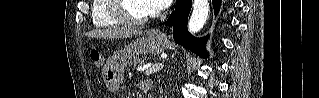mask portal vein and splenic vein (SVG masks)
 Listing matches in <instances>:
<instances>
[{"mask_svg": "<svg viewBox=\"0 0 319 98\" xmlns=\"http://www.w3.org/2000/svg\"><path fill=\"white\" fill-rule=\"evenodd\" d=\"M162 68H163V64L158 63V64H155L153 66H148L147 65V66H144V67H140L139 70L145 71L146 75H152L155 72L160 71Z\"/></svg>", "mask_w": 319, "mask_h": 98, "instance_id": "obj_1", "label": "portal vein and splenic vein"}]
</instances>
